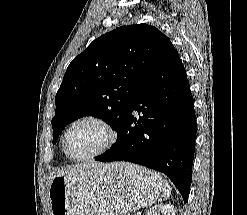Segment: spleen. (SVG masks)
Here are the masks:
<instances>
[{
  "mask_svg": "<svg viewBox=\"0 0 247 215\" xmlns=\"http://www.w3.org/2000/svg\"><path fill=\"white\" fill-rule=\"evenodd\" d=\"M162 191H163V196L165 198H169V196L171 195V187L167 181H163Z\"/></svg>",
  "mask_w": 247,
  "mask_h": 215,
  "instance_id": "3e777b00",
  "label": "spleen"
}]
</instances>
